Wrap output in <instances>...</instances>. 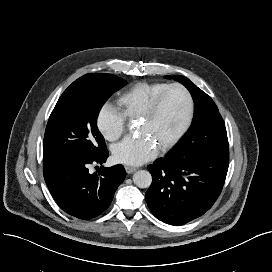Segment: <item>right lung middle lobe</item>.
I'll list each match as a JSON object with an SVG mask.
<instances>
[{
    "label": "right lung middle lobe",
    "mask_w": 272,
    "mask_h": 272,
    "mask_svg": "<svg viewBox=\"0 0 272 272\" xmlns=\"http://www.w3.org/2000/svg\"><path fill=\"white\" fill-rule=\"evenodd\" d=\"M127 82L112 74H87L74 81L61 95L47 123L43 155L71 153L92 156L106 149L97 128L98 113Z\"/></svg>",
    "instance_id": "1"
}]
</instances>
